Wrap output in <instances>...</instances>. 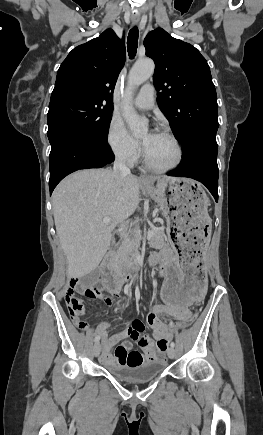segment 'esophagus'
<instances>
[{
	"instance_id": "esophagus-1",
	"label": "esophagus",
	"mask_w": 263,
	"mask_h": 435,
	"mask_svg": "<svg viewBox=\"0 0 263 435\" xmlns=\"http://www.w3.org/2000/svg\"><path fill=\"white\" fill-rule=\"evenodd\" d=\"M138 21H139V19H137V18L132 19L133 24H137ZM139 178H140V180H142L144 182H149L150 181L149 176H147L145 174H140Z\"/></svg>"
}]
</instances>
